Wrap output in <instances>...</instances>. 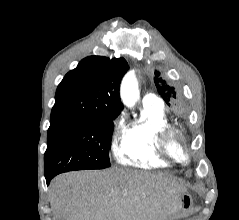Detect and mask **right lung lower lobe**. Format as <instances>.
Wrapping results in <instances>:
<instances>
[{"label":"right lung lower lobe","mask_w":239,"mask_h":220,"mask_svg":"<svg viewBox=\"0 0 239 220\" xmlns=\"http://www.w3.org/2000/svg\"><path fill=\"white\" fill-rule=\"evenodd\" d=\"M46 178V182H47V185L49 184L50 180L53 178V177H45Z\"/></svg>","instance_id":"1"}]
</instances>
